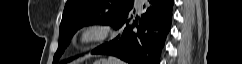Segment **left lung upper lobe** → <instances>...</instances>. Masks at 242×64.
<instances>
[{
    "mask_svg": "<svg viewBox=\"0 0 242 64\" xmlns=\"http://www.w3.org/2000/svg\"><path fill=\"white\" fill-rule=\"evenodd\" d=\"M133 5V0H67L59 30L56 64L74 33L86 25L114 26ZM69 59L67 61H70ZM66 60L62 63L67 62Z\"/></svg>",
    "mask_w": 242,
    "mask_h": 64,
    "instance_id": "left-lung-upper-lobe-1",
    "label": "left lung upper lobe"
}]
</instances>
